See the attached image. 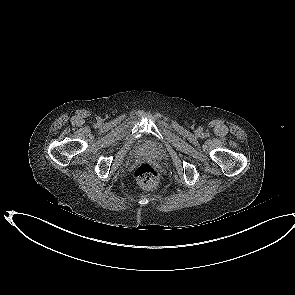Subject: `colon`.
Instances as JSON below:
<instances>
[{"label":"colon","instance_id":"obj_1","mask_svg":"<svg viewBox=\"0 0 295 295\" xmlns=\"http://www.w3.org/2000/svg\"><path fill=\"white\" fill-rule=\"evenodd\" d=\"M134 177L138 185L144 190H153L160 182L159 171L149 163L140 164L134 172Z\"/></svg>","mask_w":295,"mask_h":295}]
</instances>
